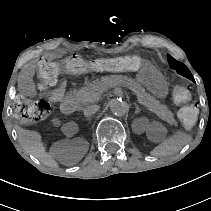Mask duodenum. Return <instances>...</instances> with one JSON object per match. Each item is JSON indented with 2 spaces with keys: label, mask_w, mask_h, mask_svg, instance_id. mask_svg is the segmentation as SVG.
Segmentation results:
<instances>
[{
  "label": "duodenum",
  "mask_w": 211,
  "mask_h": 211,
  "mask_svg": "<svg viewBox=\"0 0 211 211\" xmlns=\"http://www.w3.org/2000/svg\"><path fill=\"white\" fill-rule=\"evenodd\" d=\"M60 108L65 114H72L75 111L76 104L71 97H66L61 101Z\"/></svg>",
  "instance_id": "410a0bca"
}]
</instances>
